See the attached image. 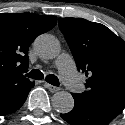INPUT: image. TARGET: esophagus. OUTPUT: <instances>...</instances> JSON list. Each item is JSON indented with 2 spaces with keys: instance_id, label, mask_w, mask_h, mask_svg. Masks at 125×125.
<instances>
[{
  "instance_id": "1",
  "label": "esophagus",
  "mask_w": 125,
  "mask_h": 125,
  "mask_svg": "<svg viewBox=\"0 0 125 125\" xmlns=\"http://www.w3.org/2000/svg\"><path fill=\"white\" fill-rule=\"evenodd\" d=\"M45 86H46V87L48 88V90H49L50 92H52V93H55V92H57V91L60 90L59 87L53 86V85H51V84H49V83H45Z\"/></svg>"
}]
</instances>
